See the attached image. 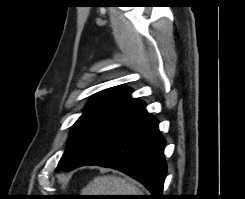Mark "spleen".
I'll return each instance as SVG.
<instances>
[{
  "mask_svg": "<svg viewBox=\"0 0 245 199\" xmlns=\"http://www.w3.org/2000/svg\"><path fill=\"white\" fill-rule=\"evenodd\" d=\"M82 195H143L142 191L132 182L118 176H102L94 178Z\"/></svg>",
  "mask_w": 245,
  "mask_h": 199,
  "instance_id": "3e777b00",
  "label": "spleen"
}]
</instances>
